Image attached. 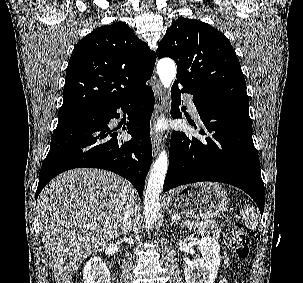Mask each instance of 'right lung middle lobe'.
<instances>
[{
	"mask_svg": "<svg viewBox=\"0 0 303 283\" xmlns=\"http://www.w3.org/2000/svg\"><path fill=\"white\" fill-rule=\"evenodd\" d=\"M95 115V112H89V113H84V114H79L75 116H69V117H58V122H63V121H69V120H75V119H90Z\"/></svg>",
	"mask_w": 303,
	"mask_h": 283,
	"instance_id": "dd1d6c3e",
	"label": "right lung middle lobe"
}]
</instances>
